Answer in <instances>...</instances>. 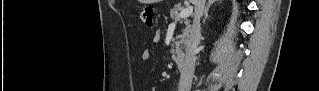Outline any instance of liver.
<instances>
[{"label":"liver","mask_w":319,"mask_h":91,"mask_svg":"<svg viewBox=\"0 0 319 91\" xmlns=\"http://www.w3.org/2000/svg\"><path fill=\"white\" fill-rule=\"evenodd\" d=\"M191 2H192L193 4H195V3H196V0H191Z\"/></svg>","instance_id":"6515ba94"}]
</instances>
